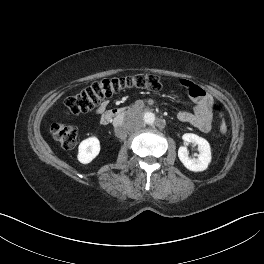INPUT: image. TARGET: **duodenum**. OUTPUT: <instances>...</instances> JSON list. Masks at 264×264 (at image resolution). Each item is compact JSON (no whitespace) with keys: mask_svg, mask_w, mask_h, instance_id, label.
Listing matches in <instances>:
<instances>
[{"mask_svg":"<svg viewBox=\"0 0 264 264\" xmlns=\"http://www.w3.org/2000/svg\"><path fill=\"white\" fill-rule=\"evenodd\" d=\"M125 107H114L109 110H107L102 116H101V123L103 125L108 124L111 122L114 117L116 116H122L126 112Z\"/></svg>","mask_w":264,"mask_h":264,"instance_id":"410a0bca","label":"duodenum"}]
</instances>
